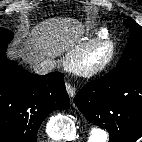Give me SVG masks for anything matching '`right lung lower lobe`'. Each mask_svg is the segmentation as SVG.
Returning a JSON list of instances; mask_svg holds the SVG:
<instances>
[{
    "mask_svg": "<svg viewBox=\"0 0 142 142\" xmlns=\"http://www.w3.org/2000/svg\"><path fill=\"white\" fill-rule=\"evenodd\" d=\"M69 104L60 72L35 75L0 55V142H36L42 121Z\"/></svg>",
    "mask_w": 142,
    "mask_h": 142,
    "instance_id": "1",
    "label": "right lung lower lobe"
}]
</instances>
